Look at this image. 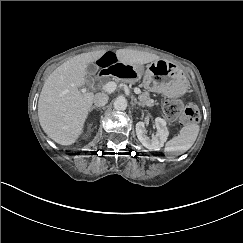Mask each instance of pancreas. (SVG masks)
<instances>
[{
    "label": "pancreas",
    "instance_id": "pancreas-1",
    "mask_svg": "<svg viewBox=\"0 0 243 243\" xmlns=\"http://www.w3.org/2000/svg\"><path fill=\"white\" fill-rule=\"evenodd\" d=\"M139 100L147 106H153L154 105V101L150 98L149 96V92L148 91H144L142 92L139 96H138Z\"/></svg>",
    "mask_w": 243,
    "mask_h": 243
}]
</instances>
